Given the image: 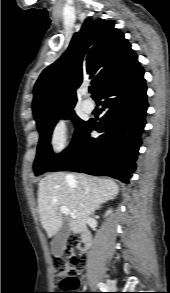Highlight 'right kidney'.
<instances>
[{"instance_id": "obj_1", "label": "right kidney", "mask_w": 170, "mask_h": 293, "mask_svg": "<svg viewBox=\"0 0 170 293\" xmlns=\"http://www.w3.org/2000/svg\"><path fill=\"white\" fill-rule=\"evenodd\" d=\"M111 210H108L107 212H106V216H108L109 214H111Z\"/></svg>"}]
</instances>
